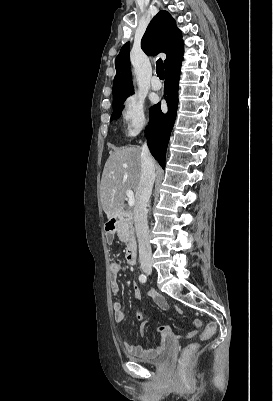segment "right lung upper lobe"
<instances>
[{"label": "right lung upper lobe", "mask_w": 273, "mask_h": 401, "mask_svg": "<svg viewBox=\"0 0 273 401\" xmlns=\"http://www.w3.org/2000/svg\"><path fill=\"white\" fill-rule=\"evenodd\" d=\"M129 45L126 43L116 57L113 82V108L122 104L133 93L130 74ZM142 50L150 55L165 53V70L180 62L184 52L181 31L167 11H160L148 25L141 40Z\"/></svg>", "instance_id": "right-lung-upper-lobe-1"}]
</instances>
